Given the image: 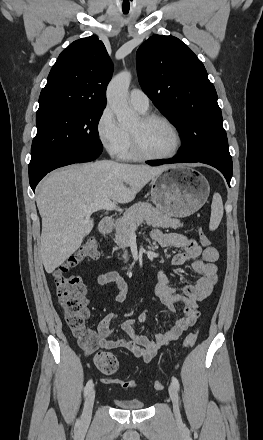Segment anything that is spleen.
I'll return each mask as SVG.
<instances>
[{
    "label": "spleen",
    "instance_id": "obj_1",
    "mask_svg": "<svg viewBox=\"0 0 263 440\" xmlns=\"http://www.w3.org/2000/svg\"><path fill=\"white\" fill-rule=\"evenodd\" d=\"M223 201L219 193L213 195L211 204V217L209 222V229L214 231L218 228L223 217Z\"/></svg>",
    "mask_w": 263,
    "mask_h": 440
}]
</instances>
